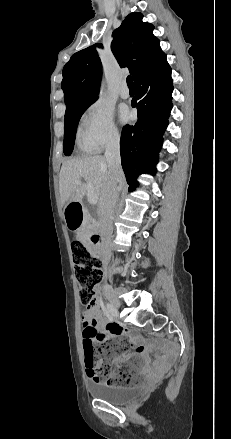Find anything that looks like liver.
<instances>
[{"label":"liver","instance_id":"obj_1","mask_svg":"<svg viewBox=\"0 0 231 439\" xmlns=\"http://www.w3.org/2000/svg\"><path fill=\"white\" fill-rule=\"evenodd\" d=\"M84 179L91 184L98 196L99 204L104 198L111 180L106 158L100 155L76 158L65 162L59 175L61 203L67 206L70 202H81L86 191V184H75V180ZM125 184L124 174L118 183L119 190Z\"/></svg>","mask_w":231,"mask_h":439}]
</instances>
